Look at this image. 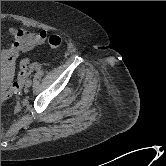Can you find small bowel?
Returning a JSON list of instances; mask_svg holds the SVG:
<instances>
[{
	"mask_svg": "<svg viewBox=\"0 0 166 166\" xmlns=\"http://www.w3.org/2000/svg\"><path fill=\"white\" fill-rule=\"evenodd\" d=\"M6 32L13 37V42L9 47L1 50V68L9 72L14 69L15 60L21 53L34 49L47 39L45 30L31 32L11 26L6 29Z\"/></svg>",
	"mask_w": 166,
	"mask_h": 166,
	"instance_id": "1",
	"label": "small bowel"
}]
</instances>
